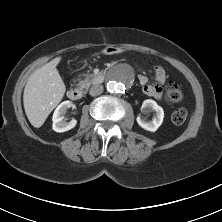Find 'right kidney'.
<instances>
[{"label":"right kidney","instance_id":"1","mask_svg":"<svg viewBox=\"0 0 222 222\" xmlns=\"http://www.w3.org/2000/svg\"><path fill=\"white\" fill-rule=\"evenodd\" d=\"M70 107H74L72 102L64 101L54 111L52 117L53 121L52 128L54 131L65 132L76 126L77 121L75 119H72L71 121L67 122L66 118L64 117L66 110L69 109Z\"/></svg>","mask_w":222,"mask_h":222}]
</instances>
